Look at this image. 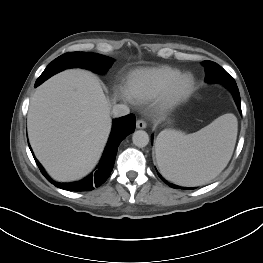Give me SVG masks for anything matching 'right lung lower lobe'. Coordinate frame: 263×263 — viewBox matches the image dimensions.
Wrapping results in <instances>:
<instances>
[{"label":"right lung lower lobe","mask_w":263,"mask_h":263,"mask_svg":"<svg viewBox=\"0 0 263 263\" xmlns=\"http://www.w3.org/2000/svg\"><path fill=\"white\" fill-rule=\"evenodd\" d=\"M52 75H44L43 73L40 75V77L37 79L35 83V87L40 85L42 82H44L46 79L51 77ZM135 116L133 114H129L127 116L117 118L113 122V128L112 132L108 141V144L105 148L104 154L102 156V159L99 163V165L96 167L95 173H91L89 176H87L85 179L74 182V183H58L54 182L44 171L41 164L36 160L34 157L40 171L42 174L46 177V179L54 184L56 187H59L64 190L69 191H90L94 187H98L101 184H103L107 178L109 177L113 165L115 162V157L117 154V148L121 141L125 139L127 135L132 133L135 130ZM31 150V147H30ZM32 151V150H31Z\"/></svg>","instance_id":"1"}]
</instances>
